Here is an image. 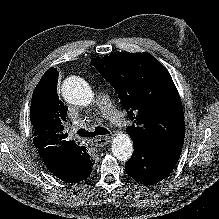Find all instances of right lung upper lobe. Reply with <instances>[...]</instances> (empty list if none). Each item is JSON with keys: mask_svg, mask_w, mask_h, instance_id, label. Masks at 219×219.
I'll use <instances>...</instances> for the list:
<instances>
[{"mask_svg": "<svg viewBox=\"0 0 219 219\" xmlns=\"http://www.w3.org/2000/svg\"><path fill=\"white\" fill-rule=\"evenodd\" d=\"M57 80V70L50 68L34 89L30 110L33 143L54 175L65 182H74L76 171L83 172V167H73L75 163L67 152L77 151L86 159L84 164L89 166L91 160L84 146L67 141L63 133L68 108L59 100Z\"/></svg>", "mask_w": 219, "mask_h": 219, "instance_id": "1", "label": "right lung upper lobe"}]
</instances>
